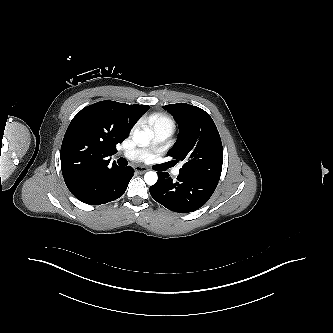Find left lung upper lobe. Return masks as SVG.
<instances>
[{
    "label": "left lung upper lobe",
    "mask_w": 333,
    "mask_h": 333,
    "mask_svg": "<svg viewBox=\"0 0 333 333\" xmlns=\"http://www.w3.org/2000/svg\"><path fill=\"white\" fill-rule=\"evenodd\" d=\"M179 126L177 141L168 152L175 162L184 164L180 174L219 181L223 148L217 127L203 109L186 103L164 106Z\"/></svg>",
    "instance_id": "left-lung-upper-lobe-1"
}]
</instances>
